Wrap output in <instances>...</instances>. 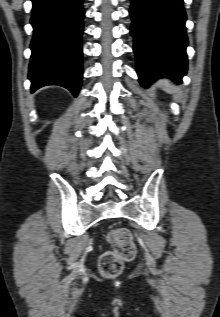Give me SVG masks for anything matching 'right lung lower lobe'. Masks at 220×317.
<instances>
[{
    "label": "right lung lower lobe",
    "mask_w": 220,
    "mask_h": 317,
    "mask_svg": "<svg viewBox=\"0 0 220 317\" xmlns=\"http://www.w3.org/2000/svg\"><path fill=\"white\" fill-rule=\"evenodd\" d=\"M83 0H32L29 79L34 92L59 85L77 95L82 81Z\"/></svg>",
    "instance_id": "obj_1"
}]
</instances>
